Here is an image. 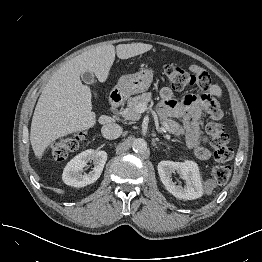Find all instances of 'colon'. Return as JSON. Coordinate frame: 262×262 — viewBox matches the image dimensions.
Returning a JSON list of instances; mask_svg holds the SVG:
<instances>
[{
  "instance_id": "obj_1",
  "label": "colon",
  "mask_w": 262,
  "mask_h": 262,
  "mask_svg": "<svg viewBox=\"0 0 262 262\" xmlns=\"http://www.w3.org/2000/svg\"><path fill=\"white\" fill-rule=\"evenodd\" d=\"M165 73L167 82L176 91L183 90L195 84L200 78L208 76L207 72L203 69L199 74H193L182 67L172 64L166 66ZM207 133L218 162L212 170L213 177L216 182L223 184L231 175V167L227 162L233 157V149L228 145V135L220 123L211 122L207 126ZM77 145L78 141L76 138L63 139L52 147L51 157L58 161L64 160L70 152L77 148Z\"/></svg>"
}]
</instances>
